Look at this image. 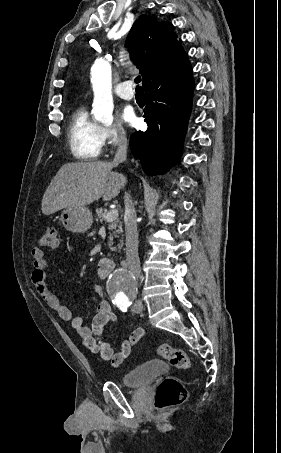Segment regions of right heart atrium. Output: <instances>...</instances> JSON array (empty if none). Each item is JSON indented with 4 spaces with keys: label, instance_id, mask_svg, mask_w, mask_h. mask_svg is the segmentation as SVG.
Listing matches in <instances>:
<instances>
[{
    "label": "right heart atrium",
    "instance_id": "1",
    "mask_svg": "<svg viewBox=\"0 0 281 453\" xmlns=\"http://www.w3.org/2000/svg\"><path fill=\"white\" fill-rule=\"evenodd\" d=\"M105 140L112 147L119 146L127 137L126 130L119 123L104 126Z\"/></svg>",
    "mask_w": 281,
    "mask_h": 453
}]
</instances>
